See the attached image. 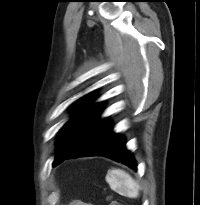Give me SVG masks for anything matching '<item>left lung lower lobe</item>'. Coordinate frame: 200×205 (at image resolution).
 <instances>
[{
  "label": "left lung lower lobe",
  "instance_id": "1",
  "mask_svg": "<svg viewBox=\"0 0 200 205\" xmlns=\"http://www.w3.org/2000/svg\"><path fill=\"white\" fill-rule=\"evenodd\" d=\"M84 156H104L136 169V161L125 148L123 137L112 133L108 119L99 120L77 147L62 161ZM61 161V162H62Z\"/></svg>",
  "mask_w": 200,
  "mask_h": 205
}]
</instances>
